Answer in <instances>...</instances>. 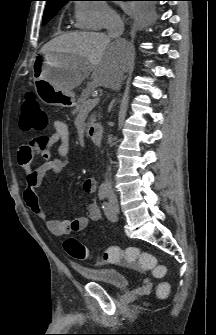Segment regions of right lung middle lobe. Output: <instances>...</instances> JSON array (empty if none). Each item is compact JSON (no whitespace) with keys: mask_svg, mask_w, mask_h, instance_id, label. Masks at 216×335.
Masks as SVG:
<instances>
[{"mask_svg":"<svg viewBox=\"0 0 216 335\" xmlns=\"http://www.w3.org/2000/svg\"><path fill=\"white\" fill-rule=\"evenodd\" d=\"M65 3L66 2L46 5L43 17V25H45L49 20H51L57 14V12L63 7Z\"/></svg>","mask_w":216,"mask_h":335,"instance_id":"right-lung-middle-lobe-1","label":"right lung middle lobe"}]
</instances>
